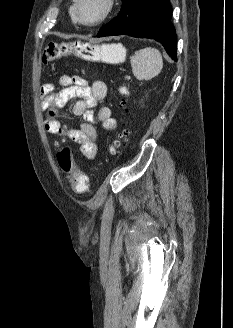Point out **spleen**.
Returning a JSON list of instances; mask_svg holds the SVG:
<instances>
[{"label": "spleen", "mask_w": 233, "mask_h": 328, "mask_svg": "<svg viewBox=\"0 0 233 328\" xmlns=\"http://www.w3.org/2000/svg\"><path fill=\"white\" fill-rule=\"evenodd\" d=\"M103 51H112L120 53L122 47L120 45H104ZM132 72L136 79L151 80L156 77L163 68V59L160 51L156 48L146 47L134 53L130 58Z\"/></svg>", "instance_id": "3e777b00"}]
</instances>
